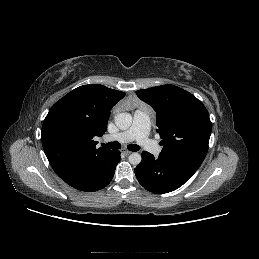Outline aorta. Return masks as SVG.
I'll return each instance as SVG.
<instances>
[{
  "instance_id": "obj_1",
  "label": "aorta",
  "mask_w": 259,
  "mask_h": 259,
  "mask_svg": "<svg viewBox=\"0 0 259 259\" xmlns=\"http://www.w3.org/2000/svg\"><path fill=\"white\" fill-rule=\"evenodd\" d=\"M115 124L121 130H127L132 124V116L129 113H119L115 116ZM141 155L137 152L130 154L129 162L132 165L141 163Z\"/></svg>"
}]
</instances>
